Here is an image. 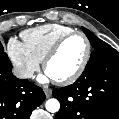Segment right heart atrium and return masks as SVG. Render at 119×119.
I'll return each instance as SVG.
<instances>
[{"instance_id":"obj_1","label":"right heart atrium","mask_w":119,"mask_h":119,"mask_svg":"<svg viewBox=\"0 0 119 119\" xmlns=\"http://www.w3.org/2000/svg\"><path fill=\"white\" fill-rule=\"evenodd\" d=\"M7 52L16 73L21 78H32L39 69L40 61L29 51L24 42L11 38L7 45Z\"/></svg>"}]
</instances>
